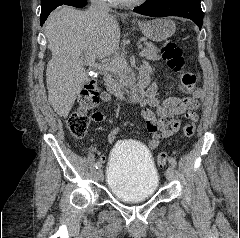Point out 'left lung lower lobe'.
I'll return each mask as SVG.
<instances>
[{
    "mask_svg": "<svg viewBox=\"0 0 240 238\" xmlns=\"http://www.w3.org/2000/svg\"><path fill=\"white\" fill-rule=\"evenodd\" d=\"M151 17L179 16L191 19L201 29L203 12L200 0H147L133 10Z\"/></svg>",
    "mask_w": 240,
    "mask_h": 238,
    "instance_id": "obj_1",
    "label": "left lung lower lobe"
}]
</instances>
